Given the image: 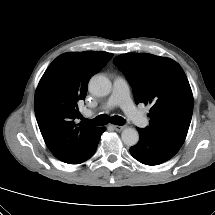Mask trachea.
<instances>
[{
	"label": "trachea",
	"instance_id": "trachea-1",
	"mask_svg": "<svg viewBox=\"0 0 215 215\" xmlns=\"http://www.w3.org/2000/svg\"><path fill=\"white\" fill-rule=\"evenodd\" d=\"M82 121L91 126H103V125L108 124L109 122H111L112 124H115V125H123L125 123V120L120 116H113V117L109 118L106 115H99L92 120L82 118Z\"/></svg>",
	"mask_w": 215,
	"mask_h": 215
}]
</instances>
